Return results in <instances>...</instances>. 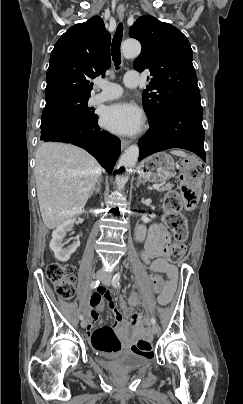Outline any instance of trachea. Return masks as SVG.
Returning a JSON list of instances; mask_svg holds the SVG:
<instances>
[{"label": "trachea", "instance_id": "1", "mask_svg": "<svg viewBox=\"0 0 243 404\" xmlns=\"http://www.w3.org/2000/svg\"><path fill=\"white\" fill-rule=\"evenodd\" d=\"M123 37V24L120 23L114 34L111 46L112 59L116 69L119 68L121 64V41Z\"/></svg>", "mask_w": 243, "mask_h": 404}]
</instances>
